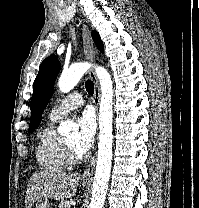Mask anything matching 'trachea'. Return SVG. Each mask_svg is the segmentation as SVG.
<instances>
[{
  "instance_id": "trachea-1",
  "label": "trachea",
  "mask_w": 199,
  "mask_h": 208,
  "mask_svg": "<svg viewBox=\"0 0 199 208\" xmlns=\"http://www.w3.org/2000/svg\"><path fill=\"white\" fill-rule=\"evenodd\" d=\"M85 88L90 95L94 93V83L91 80H87L85 83Z\"/></svg>"
}]
</instances>
